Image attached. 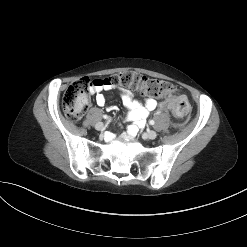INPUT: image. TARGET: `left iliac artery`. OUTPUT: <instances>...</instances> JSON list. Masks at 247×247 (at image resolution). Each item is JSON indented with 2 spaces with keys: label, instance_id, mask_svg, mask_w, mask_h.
<instances>
[{
  "label": "left iliac artery",
  "instance_id": "44dca946",
  "mask_svg": "<svg viewBox=\"0 0 247 247\" xmlns=\"http://www.w3.org/2000/svg\"><path fill=\"white\" fill-rule=\"evenodd\" d=\"M149 124H150V125H154V124H155V121H154V120H150V121H149Z\"/></svg>",
  "mask_w": 247,
  "mask_h": 247
}]
</instances>
